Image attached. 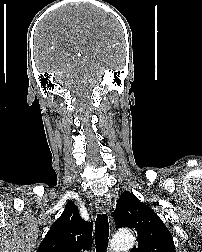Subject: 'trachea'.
Masks as SVG:
<instances>
[{"label":"trachea","instance_id":"3493384b","mask_svg":"<svg viewBox=\"0 0 202 252\" xmlns=\"http://www.w3.org/2000/svg\"><path fill=\"white\" fill-rule=\"evenodd\" d=\"M96 252H104L107 248L109 237V222L106 214H98L95 222Z\"/></svg>","mask_w":202,"mask_h":252}]
</instances>
